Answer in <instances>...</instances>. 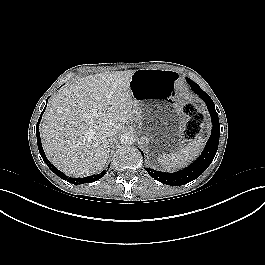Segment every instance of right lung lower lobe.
I'll list each match as a JSON object with an SVG mask.
<instances>
[{
    "label": "right lung lower lobe",
    "instance_id": "1",
    "mask_svg": "<svg viewBox=\"0 0 265 265\" xmlns=\"http://www.w3.org/2000/svg\"><path fill=\"white\" fill-rule=\"evenodd\" d=\"M45 110V109H44ZM43 110V112H44ZM38 120L37 126H36V134H37V143H38V149L39 152L44 160V162L47 164V166L51 169V171H53L55 174H57L60 178L67 180V182L72 183L74 185H79V184H84V183H92L96 180H99L101 177L104 176L105 171L101 172L100 174H96V175H91L88 177H84V178H71L66 176L64 173L60 172L55 166H53L49 160L47 159L44 150L42 148V144H41V139H40V133H39V122L41 120L42 114Z\"/></svg>",
    "mask_w": 265,
    "mask_h": 265
}]
</instances>
